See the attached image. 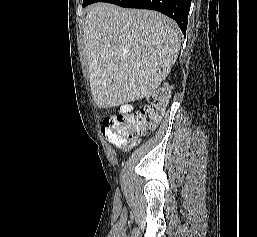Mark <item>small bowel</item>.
Listing matches in <instances>:
<instances>
[{"instance_id":"c3829d8e","label":"small bowel","mask_w":257,"mask_h":237,"mask_svg":"<svg viewBox=\"0 0 257 237\" xmlns=\"http://www.w3.org/2000/svg\"><path fill=\"white\" fill-rule=\"evenodd\" d=\"M132 109V106L131 105H124L123 107H122V110L123 111H130ZM114 145H116V146H124L126 143H125V141H118V140H115V139H111L110 140Z\"/></svg>"}]
</instances>
